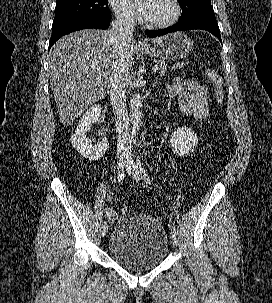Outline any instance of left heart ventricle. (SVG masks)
I'll return each mask as SVG.
<instances>
[{"instance_id":"b2bd125f","label":"left heart ventricle","mask_w":272,"mask_h":303,"mask_svg":"<svg viewBox=\"0 0 272 303\" xmlns=\"http://www.w3.org/2000/svg\"><path fill=\"white\" fill-rule=\"evenodd\" d=\"M173 12L170 0H152L149 22H160L168 19Z\"/></svg>"}]
</instances>
